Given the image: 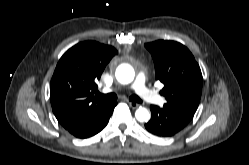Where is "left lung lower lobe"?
Wrapping results in <instances>:
<instances>
[{"mask_svg": "<svg viewBox=\"0 0 249 165\" xmlns=\"http://www.w3.org/2000/svg\"><path fill=\"white\" fill-rule=\"evenodd\" d=\"M152 117L145 124V128L161 137H170L182 130L191 120L192 116L170 108L150 106Z\"/></svg>", "mask_w": 249, "mask_h": 165, "instance_id": "1", "label": "left lung lower lobe"}]
</instances>
